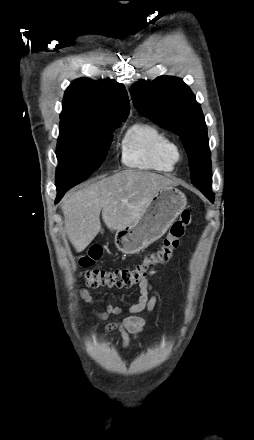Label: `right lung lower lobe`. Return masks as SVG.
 Here are the masks:
<instances>
[{
    "instance_id": "obj_1",
    "label": "right lung lower lobe",
    "mask_w": 254,
    "mask_h": 440,
    "mask_svg": "<svg viewBox=\"0 0 254 440\" xmlns=\"http://www.w3.org/2000/svg\"><path fill=\"white\" fill-rule=\"evenodd\" d=\"M70 189L69 187H57V191H58V196L56 199L55 203H58V201L62 198V196L64 195V193Z\"/></svg>"
}]
</instances>
